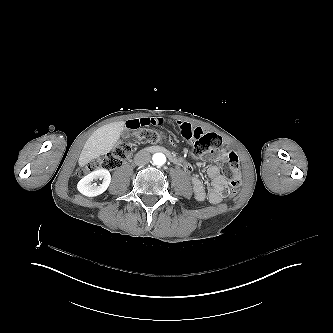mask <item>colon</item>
Wrapping results in <instances>:
<instances>
[{
	"mask_svg": "<svg viewBox=\"0 0 333 333\" xmlns=\"http://www.w3.org/2000/svg\"><path fill=\"white\" fill-rule=\"evenodd\" d=\"M181 126L184 139L187 141L193 139V142L195 143L192 149V156L194 158H201L210 150L212 152L220 149L225 150L226 155L228 156V163L225 171L230 176V187L232 188L233 194H235L237 187L241 183V167L237 153L230 150L224 141L217 135L212 133L206 134L205 130L200 126H197L194 129L188 123H181ZM129 130L134 139L145 145H156L165 138L163 134L148 129L140 132L131 129ZM132 150L133 148L129 141H122L117 144L112 153L103 155L90 162L88 166L80 169L78 174L116 168L120 165L121 160H127L130 157Z\"/></svg>",
	"mask_w": 333,
	"mask_h": 333,
	"instance_id": "colon-1",
	"label": "colon"
}]
</instances>
